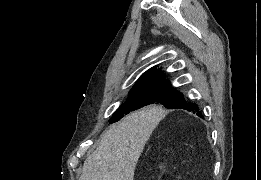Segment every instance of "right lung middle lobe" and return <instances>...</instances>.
<instances>
[{
  "mask_svg": "<svg viewBox=\"0 0 261 180\" xmlns=\"http://www.w3.org/2000/svg\"><path fill=\"white\" fill-rule=\"evenodd\" d=\"M184 101L183 95L168 83L136 86L130 91L126 101L117 109L110 123L117 122L125 114L150 104H162L168 109L175 108Z\"/></svg>",
  "mask_w": 261,
  "mask_h": 180,
  "instance_id": "1",
  "label": "right lung middle lobe"
}]
</instances>
